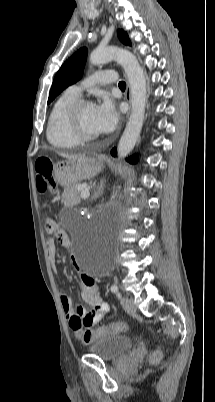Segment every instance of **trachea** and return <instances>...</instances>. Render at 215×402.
Listing matches in <instances>:
<instances>
[{"label": "trachea", "mask_w": 215, "mask_h": 402, "mask_svg": "<svg viewBox=\"0 0 215 402\" xmlns=\"http://www.w3.org/2000/svg\"><path fill=\"white\" fill-rule=\"evenodd\" d=\"M119 87L120 88H126V83L123 82V81L119 82Z\"/></svg>", "instance_id": "obj_1"}]
</instances>
